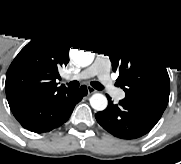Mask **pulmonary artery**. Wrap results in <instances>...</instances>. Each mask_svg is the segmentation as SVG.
Wrapping results in <instances>:
<instances>
[{"label":"pulmonary artery","mask_w":181,"mask_h":164,"mask_svg":"<svg viewBox=\"0 0 181 164\" xmlns=\"http://www.w3.org/2000/svg\"><path fill=\"white\" fill-rule=\"evenodd\" d=\"M94 76L98 77L99 82L103 85V87L109 94H114L117 99L124 98V94L113 87L112 79H111L108 67L99 61L93 63L88 68L83 70L81 73L73 77L68 76L67 78L68 79H88Z\"/></svg>","instance_id":"obj_1"}]
</instances>
